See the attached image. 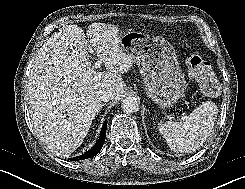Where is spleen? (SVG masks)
<instances>
[{"mask_svg":"<svg viewBox=\"0 0 245 189\" xmlns=\"http://www.w3.org/2000/svg\"><path fill=\"white\" fill-rule=\"evenodd\" d=\"M218 108L206 101L179 121L158 123L159 132L165 137L171 150L190 153L200 148L209 138L217 119Z\"/></svg>","mask_w":245,"mask_h":189,"instance_id":"spleen-1","label":"spleen"}]
</instances>
